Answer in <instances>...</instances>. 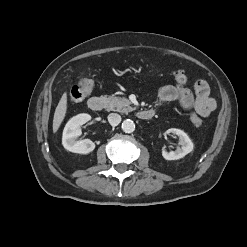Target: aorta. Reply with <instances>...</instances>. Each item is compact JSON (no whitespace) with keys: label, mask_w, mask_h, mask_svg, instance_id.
Here are the masks:
<instances>
[{"label":"aorta","mask_w":247,"mask_h":247,"mask_svg":"<svg viewBox=\"0 0 247 247\" xmlns=\"http://www.w3.org/2000/svg\"><path fill=\"white\" fill-rule=\"evenodd\" d=\"M122 130L125 133H132L135 130V124L132 120L126 119L122 123Z\"/></svg>","instance_id":"obj_1"}]
</instances>
